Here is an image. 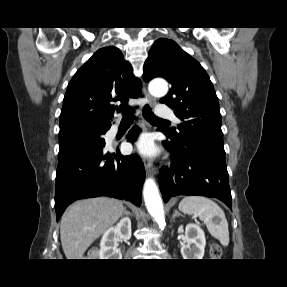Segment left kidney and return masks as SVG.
<instances>
[{"label":"left kidney","instance_id":"left-kidney-1","mask_svg":"<svg viewBox=\"0 0 287 287\" xmlns=\"http://www.w3.org/2000/svg\"><path fill=\"white\" fill-rule=\"evenodd\" d=\"M186 244L181 248L183 259H203L206 239L204 231L196 224H188L185 229Z\"/></svg>","mask_w":287,"mask_h":287}]
</instances>
